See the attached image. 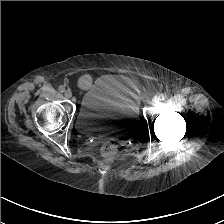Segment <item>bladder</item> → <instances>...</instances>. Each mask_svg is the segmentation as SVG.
<instances>
[{"instance_id":"1","label":"bladder","mask_w":224,"mask_h":224,"mask_svg":"<svg viewBox=\"0 0 224 224\" xmlns=\"http://www.w3.org/2000/svg\"><path fill=\"white\" fill-rule=\"evenodd\" d=\"M75 126L86 136L125 139L139 126V104L119 76L98 77L83 94Z\"/></svg>"}]
</instances>
